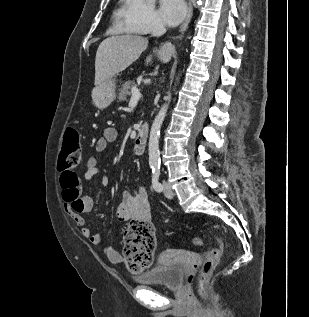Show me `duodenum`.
<instances>
[{
	"label": "duodenum",
	"mask_w": 309,
	"mask_h": 317,
	"mask_svg": "<svg viewBox=\"0 0 309 317\" xmlns=\"http://www.w3.org/2000/svg\"><path fill=\"white\" fill-rule=\"evenodd\" d=\"M149 133V127L146 123L142 124L137 132V136L134 141L133 151L136 154H142L144 152L147 138Z\"/></svg>",
	"instance_id": "410a0bca"
}]
</instances>
